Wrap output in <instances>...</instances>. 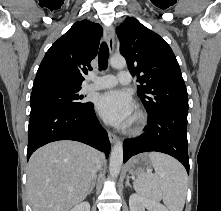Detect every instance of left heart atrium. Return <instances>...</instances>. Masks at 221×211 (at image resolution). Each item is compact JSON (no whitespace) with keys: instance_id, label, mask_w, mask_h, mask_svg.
I'll return each mask as SVG.
<instances>
[{"instance_id":"1","label":"left heart atrium","mask_w":221,"mask_h":211,"mask_svg":"<svg viewBox=\"0 0 221 211\" xmlns=\"http://www.w3.org/2000/svg\"><path fill=\"white\" fill-rule=\"evenodd\" d=\"M96 109L107 122L116 126H125L132 119L135 105L125 92L111 90L99 96Z\"/></svg>"}]
</instances>
